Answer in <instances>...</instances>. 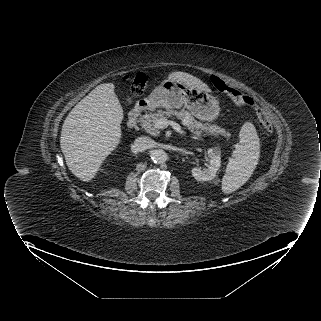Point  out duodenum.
Wrapping results in <instances>:
<instances>
[{
  "label": "duodenum",
  "mask_w": 321,
  "mask_h": 321,
  "mask_svg": "<svg viewBox=\"0 0 321 321\" xmlns=\"http://www.w3.org/2000/svg\"><path fill=\"white\" fill-rule=\"evenodd\" d=\"M149 107V102L148 100L142 99L139 102H137V104L135 105V107L131 110L129 117H128V125L130 127H133L136 125L139 116L141 115V113L148 109Z\"/></svg>",
  "instance_id": "obj_1"
}]
</instances>
